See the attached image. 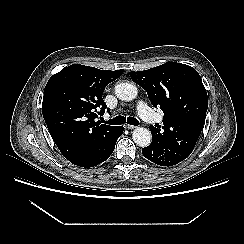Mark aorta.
<instances>
[{
  "instance_id": "762f6f07",
  "label": "aorta",
  "mask_w": 244,
  "mask_h": 244,
  "mask_svg": "<svg viewBox=\"0 0 244 244\" xmlns=\"http://www.w3.org/2000/svg\"><path fill=\"white\" fill-rule=\"evenodd\" d=\"M115 94L120 100L131 101L137 97L138 92L134 84L123 82L115 86ZM132 137L135 144L143 148L147 147L152 140L150 130L143 127L134 129Z\"/></svg>"
}]
</instances>
